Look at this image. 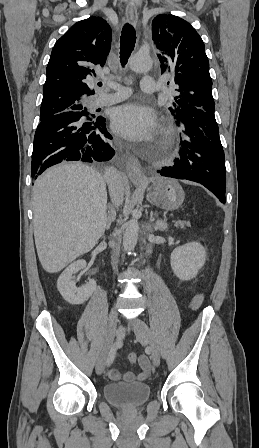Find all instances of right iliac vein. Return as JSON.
I'll use <instances>...</instances> for the list:
<instances>
[{
	"label": "right iliac vein",
	"instance_id": "1",
	"mask_svg": "<svg viewBox=\"0 0 259 448\" xmlns=\"http://www.w3.org/2000/svg\"><path fill=\"white\" fill-rule=\"evenodd\" d=\"M117 322H118L117 311L115 308H112L109 313L108 328H107L104 346H103L102 352L96 362V373L98 375H101L104 371L106 358H107V355H108V353L112 347L113 341H114Z\"/></svg>",
	"mask_w": 259,
	"mask_h": 448
}]
</instances>
